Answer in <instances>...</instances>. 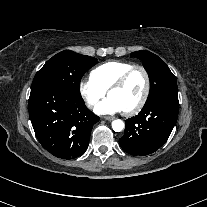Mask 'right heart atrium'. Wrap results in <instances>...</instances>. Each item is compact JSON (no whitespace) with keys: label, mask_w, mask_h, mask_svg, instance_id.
Wrapping results in <instances>:
<instances>
[{"label":"right heart atrium","mask_w":207,"mask_h":207,"mask_svg":"<svg viewBox=\"0 0 207 207\" xmlns=\"http://www.w3.org/2000/svg\"><path fill=\"white\" fill-rule=\"evenodd\" d=\"M79 92L88 107H93L106 94V89L100 86L91 76L79 83Z\"/></svg>","instance_id":"d8ad5b80"}]
</instances>
